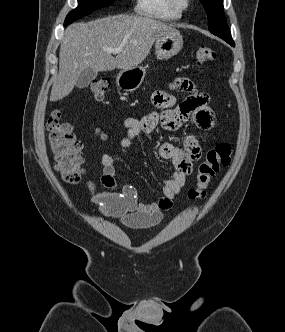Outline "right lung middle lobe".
Listing matches in <instances>:
<instances>
[{"mask_svg": "<svg viewBox=\"0 0 285 332\" xmlns=\"http://www.w3.org/2000/svg\"><path fill=\"white\" fill-rule=\"evenodd\" d=\"M114 0H78V7L67 15L64 26L72 23L73 21L82 18L93 11L106 7L113 3Z\"/></svg>", "mask_w": 285, "mask_h": 332, "instance_id": "obj_1", "label": "right lung middle lobe"}]
</instances>
